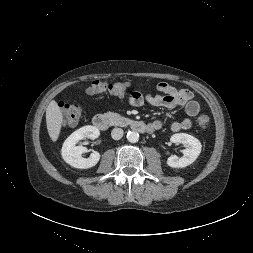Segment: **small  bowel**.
<instances>
[{
  "mask_svg": "<svg viewBox=\"0 0 253 253\" xmlns=\"http://www.w3.org/2000/svg\"><path fill=\"white\" fill-rule=\"evenodd\" d=\"M157 90L161 94L145 96L140 92H133L130 95V102L136 107L143 106L145 103L168 109L184 107L188 117L182 121H174L171 124V129L174 132L190 129L192 127L191 118L195 117L200 111L199 103L193 99V93L188 89H177L166 82L159 83L157 85ZM149 125L151 130L154 131L160 129L162 124L160 121L156 120Z\"/></svg>",
  "mask_w": 253,
  "mask_h": 253,
  "instance_id": "obj_1",
  "label": "small bowel"
}]
</instances>
